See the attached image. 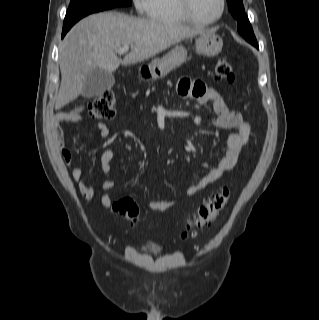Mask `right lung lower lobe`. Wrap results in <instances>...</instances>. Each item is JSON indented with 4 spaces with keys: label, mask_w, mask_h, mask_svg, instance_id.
I'll list each match as a JSON object with an SVG mask.
<instances>
[{
    "label": "right lung lower lobe",
    "mask_w": 319,
    "mask_h": 320,
    "mask_svg": "<svg viewBox=\"0 0 319 320\" xmlns=\"http://www.w3.org/2000/svg\"><path fill=\"white\" fill-rule=\"evenodd\" d=\"M70 29V28H69ZM69 29H63L62 31V38L65 36V34L68 32Z\"/></svg>",
    "instance_id": "obj_1"
}]
</instances>
